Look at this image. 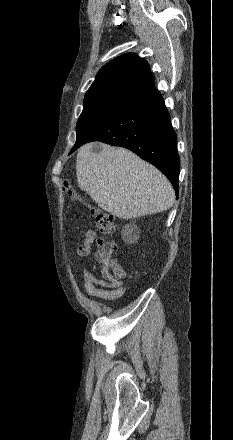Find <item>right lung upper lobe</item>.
<instances>
[{
	"label": "right lung upper lobe",
	"instance_id": "1",
	"mask_svg": "<svg viewBox=\"0 0 233 440\" xmlns=\"http://www.w3.org/2000/svg\"><path fill=\"white\" fill-rule=\"evenodd\" d=\"M153 89L155 85L147 61L134 53H127L102 67L85 94L84 102L126 104Z\"/></svg>",
	"mask_w": 233,
	"mask_h": 440
}]
</instances>
